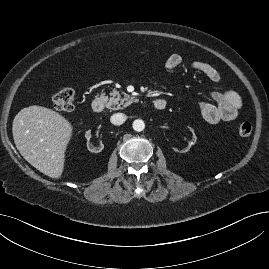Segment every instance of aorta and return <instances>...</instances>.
Masks as SVG:
<instances>
[{"instance_id":"1","label":"aorta","mask_w":269,"mask_h":269,"mask_svg":"<svg viewBox=\"0 0 269 269\" xmlns=\"http://www.w3.org/2000/svg\"><path fill=\"white\" fill-rule=\"evenodd\" d=\"M145 128V123L141 119H137L133 122V129L137 132L143 131Z\"/></svg>"}]
</instances>
